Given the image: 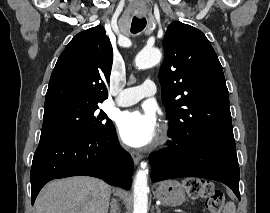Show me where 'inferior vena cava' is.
Instances as JSON below:
<instances>
[{
    "mask_svg": "<svg viewBox=\"0 0 270 213\" xmlns=\"http://www.w3.org/2000/svg\"><path fill=\"white\" fill-rule=\"evenodd\" d=\"M111 208H112L111 213H116V211L118 210V208H117V204H116L115 201L112 202Z\"/></svg>",
    "mask_w": 270,
    "mask_h": 213,
    "instance_id": "obj_1",
    "label": "inferior vena cava"
}]
</instances>
